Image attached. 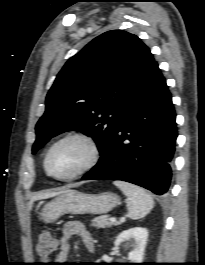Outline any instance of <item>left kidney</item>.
<instances>
[{"label": "left kidney", "mask_w": 205, "mask_h": 265, "mask_svg": "<svg viewBox=\"0 0 205 265\" xmlns=\"http://www.w3.org/2000/svg\"><path fill=\"white\" fill-rule=\"evenodd\" d=\"M148 230L142 227H134L121 232L116 240L115 246H119L122 242L128 241L133 249L128 254V259L132 263H141L147 243Z\"/></svg>", "instance_id": "obj_1"}]
</instances>
